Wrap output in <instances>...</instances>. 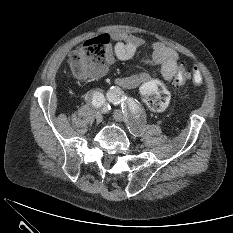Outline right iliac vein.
Here are the masks:
<instances>
[{"instance_id": "right-iliac-vein-1", "label": "right iliac vein", "mask_w": 233, "mask_h": 233, "mask_svg": "<svg viewBox=\"0 0 233 233\" xmlns=\"http://www.w3.org/2000/svg\"><path fill=\"white\" fill-rule=\"evenodd\" d=\"M95 118H96V121L100 123L103 120V115L100 112H96Z\"/></svg>"}]
</instances>
